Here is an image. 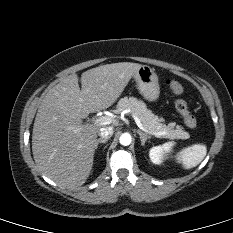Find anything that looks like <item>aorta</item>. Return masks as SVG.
I'll use <instances>...</instances> for the list:
<instances>
[{"label":"aorta","instance_id":"aorta-1","mask_svg":"<svg viewBox=\"0 0 233 233\" xmlns=\"http://www.w3.org/2000/svg\"><path fill=\"white\" fill-rule=\"evenodd\" d=\"M131 141H132V138H131V135L128 134V133H124L120 136L119 138V142L121 145L123 146H128L131 144Z\"/></svg>","mask_w":233,"mask_h":233}]
</instances>
